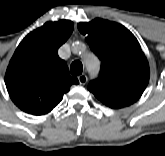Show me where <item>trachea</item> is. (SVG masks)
<instances>
[{
    "label": "trachea",
    "mask_w": 165,
    "mask_h": 156,
    "mask_svg": "<svg viewBox=\"0 0 165 156\" xmlns=\"http://www.w3.org/2000/svg\"><path fill=\"white\" fill-rule=\"evenodd\" d=\"M82 71H83V66L80 61L77 60L72 62L70 66V72L72 75H80L82 74Z\"/></svg>",
    "instance_id": "obj_1"
}]
</instances>
